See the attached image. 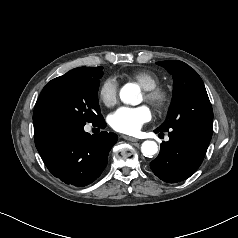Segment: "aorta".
Wrapping results in <instances>:
<instances>
[{"instance_id": "aorta-1", "label": "aorta", "mask_w": 238, "mask_h": 238, "mask_svg": "<svg viewBox=\"0 0 238 238\" xmlns=\"http://www.w3.org/2000/svg\"><path fill=\"white\" fill-rule=\"evenodd\" d=\"M120 99L125 104H135L139 90L134 84H126L120 90ZM141 152L145 157H152L158 152V145L155 141L147 140L141 145Z\"/></svg>"}]
</instances>
